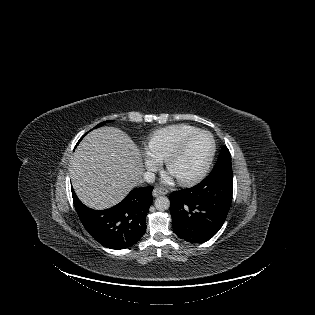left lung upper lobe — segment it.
<instances>
[{"instance_id":"obj_1","label":"left lung upper lobe","mask_w":315,"mask_h":315,"mask_svg":"<svg viewBox=\"0 0 315 315\" xmlns=\"http://www.w3.org/2000/svg\"><path fill=\"white\" fill-rule=\"evenodd\" d=\"M223 178H233L231 155L226 146L221 149L218 161L212 172L206 177L207 180L217 181Z\"/></svg>"}]
</instances>
